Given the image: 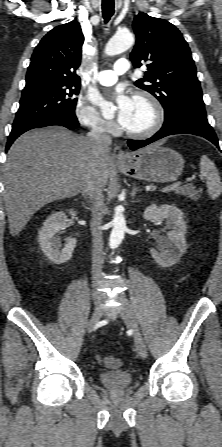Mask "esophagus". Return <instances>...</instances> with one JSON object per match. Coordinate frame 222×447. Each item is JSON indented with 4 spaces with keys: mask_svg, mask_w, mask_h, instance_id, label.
I'll use <instances>...</instances> for the list:
<instances>
[{
    "mask_svg": "<svg viewBox=\"0 0 222 447\" xmlns=\"http://www.w3.org/2000/svg\"><path fill=\"white\" fill-rule=\"evenodd\" d=\"M114 157L117 162H123L126 159V153L119 147L114 148Z\"/></svg>",
    "mask_w": 222,
    "mask_h": 447,
    "instance_id": "esophagus-1",
    "label": "esophagus"
}]
</instances>
